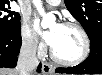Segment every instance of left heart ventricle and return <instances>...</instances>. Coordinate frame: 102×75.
Returning <instances> with one entry per match:
<instances>
[{
	"mask_svg": "<svg viewBox=\"0 0 102 75\" xmlns=\"http://www.w3.org/2000/svg\"><path fill=\"white\" fill-rule=\"evenodd\" d=\"M52 29L55 31V38L51 47L57 56L70 61L81 55L83 40L78 30L63 25H54Z\"/></svg>",
	"mask_w": 102,
	"mask_h": 75,
	"instance_id": "1",
	"label": "left heart ventricle"
}]
</instances>
